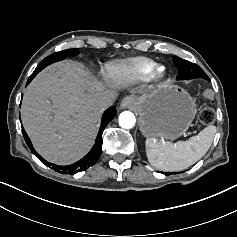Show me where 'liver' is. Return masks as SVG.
Returning a JSON list of instances; mask_svg holds the SVG:
<instances>
[{
    "label": "liver",
    "mask_w": 237,
    "mask_h": 237,
    "mask_svg": "<svg viewBox=\"0 0 237 237\" xmlns=\"http://www.w3.org/2000/svg\"><path fill=\"white\" fill-rule=\"evenodd\" d=\"M101 92L102 85L77 63H57L37 75L24 93L21 119L44 158L69 164L87 152L102 110Z\"/></svg>",
    "instance_id": "6515ba94"
}]
</instances>
